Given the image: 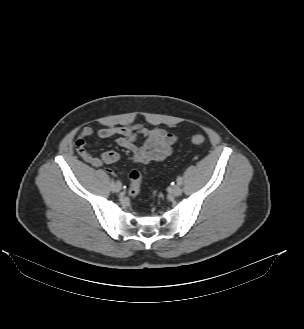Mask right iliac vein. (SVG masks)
I'll use <instances>...</instances> for the list:
<instances>
[{
	"mask_svg": "<svg viewBox=\"0 0 304 329\" xmlns=\"http://www.w3.org/2000/svg\"><path fill=\"white\" fill-rule=\"evenodd\" d=\"M121 190V183L116 182L115 183V192H119Z\"/></svg>",
	"mask_w": 304,
	"mask_h": 329,
	"instance_id": "right-iliac-vein-1",
	"label": "right iliac vein"
}]
</instances>
